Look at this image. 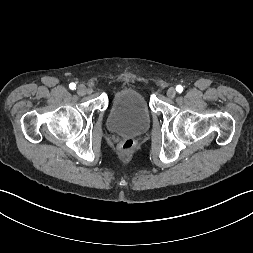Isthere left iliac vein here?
I'll return each mask as SVG.
<instances>
[{
	"label": "left iliac vein",
	"mask_w": 253,
	"mask_h": 253,
	"mask_svg": "<svg viewBox=\"0 0 253 253\" xmlns=\"http://www.w3.org/2000/svg\"><path fill=\"white\" fill-rule=\"evenodd\" d=\"M167 96L169 97V98H174L175 96H176V90H175V88H173V87H170L168 90H167Z\"/></svg>",
	"instance_id": "1"
}]
</instances>
